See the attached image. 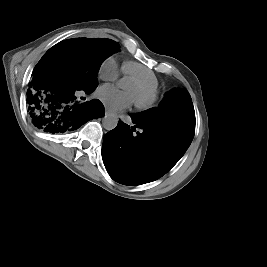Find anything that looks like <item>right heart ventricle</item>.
Listing matches in <instances>:
<instances>
[{"label": "right heart ventricle", "mask_w": 267, "mask_h": 267, "mask_svg": "<svg viewBox=\"0 0 267 267\" xmlns=\"http://www.w3.org/2000/svg\"><path fill=\"white\" fill-rule=\"evenodd\" d=\"M122 70L127 77L141 81L150 91L157 94L159 82L152 70L140 63L131 61L125 62Z\"/></svg>", "instance_id": "1"}]
</instances>
